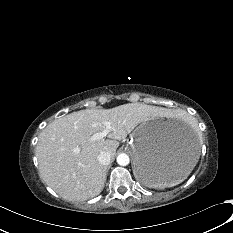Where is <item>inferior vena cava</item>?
<instances>
[{"label": "inferior vena cava", "mask_w": 233, "mask_h": 233, "mask_svg": "<svg viewBox=\"0 0 233 233\" xmlns=\"http://www.w3.org/2000/svg\"><path fill=\"white\" fill-rule=\"evenodd\" d=\"M97 158L99 163L104 166L110 164L111 162V154L109 152H101Z\"/></svg>", "instance_id": "inferior-vena-cava-1"}]
</instances>
